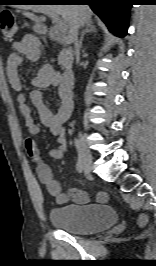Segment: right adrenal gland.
Listing matches in <instances>:
<instances>
[{
	"instance_id": "right-adrenal-gland-1",
	"label": "right adrenal gland",
	"mask_w": 156,
	"mask_h": 266,
	"mask_svg": "<svg viewBox=\"0 0 156 266\" xmlns=\"http://www.w3.org/2000/svg\"><path fill=\"white\" fill-rule=\"evenodd\" d=\"M96 27L94 26V23L92 20H90L87 24H86V27L85 29L82 31V34H81V37H80V41H79V44L80 46H82V41H83V38H84V35L86 33H92V32H96Z\"/></svg>"
}]
</instances>
